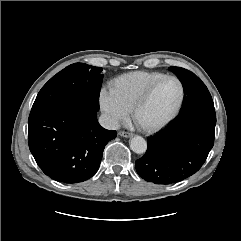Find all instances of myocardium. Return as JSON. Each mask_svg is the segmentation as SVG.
<instances>
[{"instance_id":"1","label":"myocardium","mask_w":241,"mask_h":241,"mask_svg":"<svg viewBox=\"0 0 241 241\" xmlns=\"http://www.w3.org/2000/svg\"><path fill=\"white\" fill-rule=\"evenodd\" d=\"M175 80L179 87H180V96L178 99L177 104L175 105L174 109L170 112V114L164 118L162 121L154 124V125H149V126H142L139 125L136 120H135V116L137 111L139 110V108H141L151 97V95L153 94L154 90L165 80ZM184 98H185V87L183 82L176 76L174 75H165L161 78H159L158 80L154 81L150 86L147 87V89L138 97V99L134 102V104L131 107V115L132 118L134 119V121L139 125V127L146 131V132H156L162 128H164L166 125H168L179 113L183 102H184Z\"/></svg>"}]
</instances>
